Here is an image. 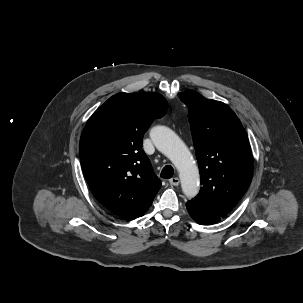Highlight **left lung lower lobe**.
Here are the masks:
<instances>
[{
  "label": "left lung lower lobe",
  "instance_id": "obj_1",
  "mask_svg": "<svg viewBox=\"0 0 303 303\" xmlns=\"http://www.w3.org/2000/svg\"><path fill=\"white\" fill-rule=\"evenodd\" d=\"M187 210L190 216L198 223L204 225H211L219 222L222 217L217 214L200 207L198 205L193 204L191 201L186 203Z\"/></svg>",
  "mask_w": 303,
  "mask_h": 303
}]
</instances>
